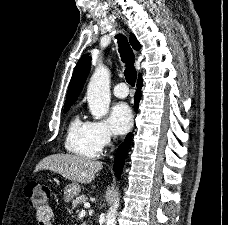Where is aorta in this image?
<instances>
[{"label":"aorta","mask_w":228,"mask_h":225,"mask_svg":"<svg viewBox=\"0 0 228 225\" xmlns=\"http://www.w3.org/2000/svg\"><path fill=\"white\" fill-rule=\"evenodd\" d=\"M87 100L89 110L93 119H103L107 115L110 106V74L108 68L103 64H98L93 72L87 88ZM107 215V225H116L117 211L120 199L116 195Z\"/></svg>","instance_id":"1"}]
</instances>
